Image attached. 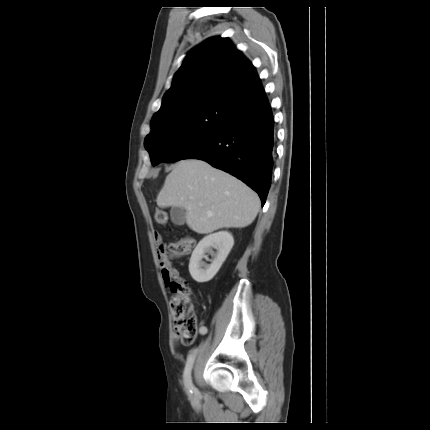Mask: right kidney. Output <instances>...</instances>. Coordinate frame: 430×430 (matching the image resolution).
<instances>
[{
	"label": "right kidney",
	"instance_id": "1",
	"mask_svg": "<svg viewBox=\"0 0 430 430\" xmlns=\"http://www.w3.org/2000/svg\"><path fill=\"white\" fill-rule=\"evenodd\" d=\"M234 245L231 233L221 231L204 237L194 249L190 262L189 272L197 283L208 282L217 274L223 262ZM211 248H215L217 253L210 265L202 262L205 253H210Z\"/></svg>",
	"mask_w": 430,
	"mask_h": 430
}]
</instances>
